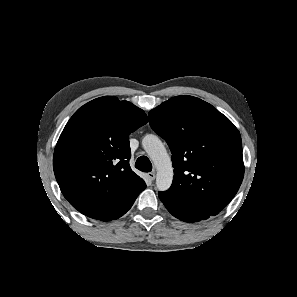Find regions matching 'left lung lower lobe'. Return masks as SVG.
<instances>
[{"instance_id":"left-lung-lower-lobe-1","label":"left lung lower lobe","mask_w":297,"mask_h":297,"mask_svg":"<svg viewBox=\"0 0 297 297\" xmlns=\"http://www.w3.org/2000/svg\"><path fill=\"white\" fill-rule=\"evenodd\" d=\"M158 196H159L160 200L162 201V203L167 208V210L176 218H178L182 221H185V222H189V223L198 222V221L202 220V219H199L195 216H192V215L186 213L185 211L181 210L178 206L174 205L171 202L170 198L168 196H166L163 192H159Z\"/></svg>"}]
</instances>
